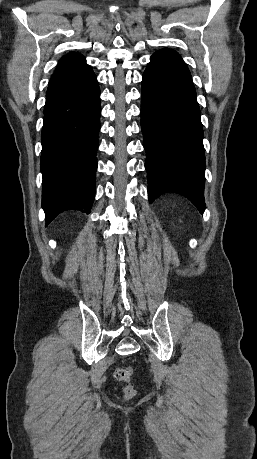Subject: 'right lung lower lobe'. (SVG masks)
Here are the masks:
<instances>
[{
  "instance_id": "obj_1",
  "label": "right lung lower lobe",
  "mask_w": 257,
  "mask_h": 459,
  "mask_svg": "<svg viewBox=\"0 0 257 459\" xmlns=\"http://www.w3.org/2000/svg\"><path fill=\"white\" fill-rule=\"evenodd\" d=\"M100 113V90L94 73L47 89L41 134L46 226L67 210L90 213Z\"/></svg>"
}]
</instances>
